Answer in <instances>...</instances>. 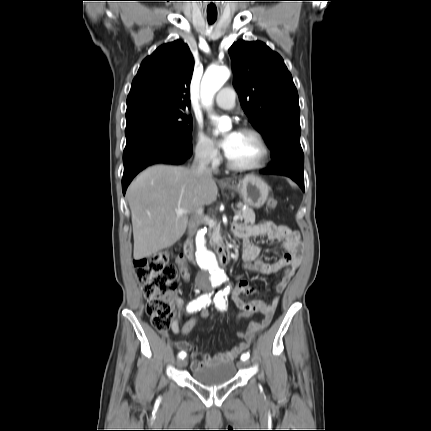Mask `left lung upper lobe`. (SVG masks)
<instances>
[{
    "mask_svg": "<svg viewBox=\"0 0 431 431\" xmlns=\"http://www.w3.org/2000/svg\"><path fill=\"white\" fill-rule=\"evenodd\" d=\"M241 106L272 152L303 155L297 89L282 57L261 41H238L230 50Z\"/></svg>",
    "mask_w": 431,
    "mask_h": 431,
    "instance_id": "left-lung-upper-lobe-1",
    "label": "left lung upper lobe"
}]
</instances>
